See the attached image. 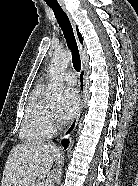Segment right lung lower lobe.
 Wrapping results in <instances>:
<instances>
[{
  "label": "right lung lower lobe",
  "mask_w": 138,
  "mask_h": 186,
  "mask_svg": "<svg viewBox=\"0 0 138 186\" xmlns=\"http://www.w3.org/2000/svg\"><path fill=\"white\" fill-rule=\"evenodd\" d=\"M69 141L68 140H63L62 145L66 148L68 146Z\"/></svg>",
  "instance_id": "98d812e1"
}]
</instances>
